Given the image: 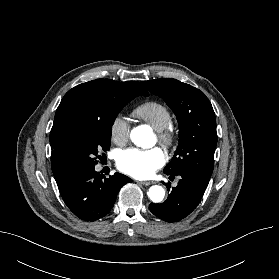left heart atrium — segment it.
<instances>
[{
	"label": "left heart atrium",
	"mask_w": 279,
	"mask_h": 279,
	"mask_svg": "<svg viewBox=\"0 0 279 279\" xmlns=\"http://www.w3.org/2000/svg\"><path fill=\"white\" fill-rule=\"evenodd\" d=\"M161 148H129L117 154L116 164L120 171L132 177L143 179L151 177L165 163Z\"/></svg>",
	"instance_id": "obj_1"
}]
</instances>
